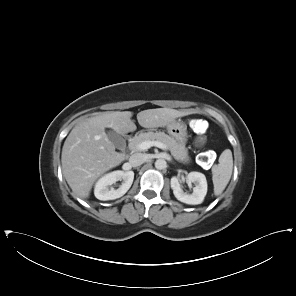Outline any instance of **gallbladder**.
I'll use <instances>...</instances> for the list:
<instances>
[{
    "label": "gallbladder",
    "mask_w": 296,
    "mask_h": 296,
    "mask_svg": "<svg viewBox=\"0 0 296 296\" xmlns=\"http://www.w3.org/2000/svg\"><path fill=\"white\" fill-rule=\"evenodd\" d=\"M108 137L116 147L121 148L125 145V140L112 130L108 132Z\"/></svg>",
    "instance_id": "obj_1"
}]
</instances>
